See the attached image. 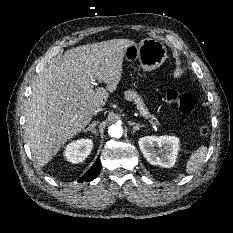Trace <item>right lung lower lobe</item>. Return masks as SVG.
I'll use <instances>...</instances> for the list:
<instances>
[{
  "instance_id": "1",
  "label": "right lung lower lobe",
  "mask_w": 233,
  "mask_h": 233,
  "mask_svg": "<svg viewBox=\"0 0 233 233\" xmlns=\"http://www.w3.org/2000/svg\"><path fill=\"white\" fill-rule=\"evenodd\" d=\"M100 170H101V162H100V157H98L94 165L87 171L86 174H84V176H82L79 179V182L92 181L99 175Z\"/></svg>"
}]
</instances>
